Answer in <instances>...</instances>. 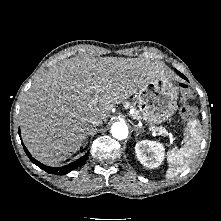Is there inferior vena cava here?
Here are the masks:
<instances>
[{"instance_id": "1", "label": "inferior vena cava", "mask_w": 221, "mask_h": 221, "mask_svg": "<svg viewBox=\"0 0 221 221\" xmlns=\"http://www.w3.org/2000/svg\"><path fill=\"white\" fill-rule=\"evenodd\" d=\"M90 123L94 126H98L101 125L103 121L99 117H93L92 119H90Z\"/></svg>"}]
</instances>
